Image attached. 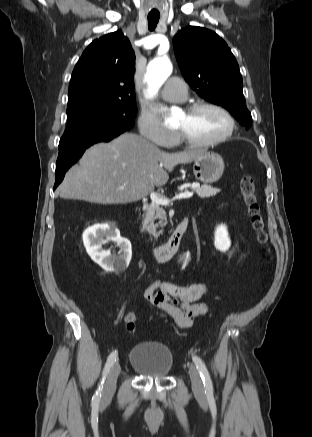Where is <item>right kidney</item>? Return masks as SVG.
<instances>
[{"label": "right kidney", "mask_w": 312, "mask_h": 437, "mask_svg": "<svg viewBox=\"0 0 312 437\" xmlns=\"http://www.w3.org/2000/svg\"><path fill=\"white\" fill-rule=\"evenodd\" d=\"M107 242L116 243L120 249L118 255L111 254L110 250L102 248V245ZM83 243L91 259L105 271H123L130 263L131 243L128 239L120 236V232L115 226L96 224L89 227L83 233Z\"/></svg>", "instance_id": "1"}]
</instances>
